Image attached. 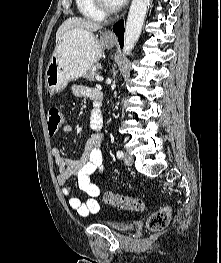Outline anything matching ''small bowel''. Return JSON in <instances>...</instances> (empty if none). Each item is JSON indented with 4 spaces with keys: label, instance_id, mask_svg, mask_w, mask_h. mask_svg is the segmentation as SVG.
I'll return each instance as SVG.
<instances>
[{
    "label": "small bowel",
    "instance_id": "1",
    "mask_svg": "<svg viewBox=\"0 0 221 263\" xmlns=\"http://www.w3.org/2000/svg\"><path fill=\"white\" fill-rule=\"evenodd\" d=\"M72 91L77 97H88L94 100L97 94H101L99 90L90 88L84 84H74ZM91 132L88 135L83 155L80 159H72L63 157L58 147H53L51 154L58 168L57 182L61 187L62 194L68 197L69 206L76 210L81 216L95 214L100 209L98 197L100 188L97 184L91 182L92 174L102 175L104 172V160L102 152L103 131L102 125H95L92 120ZM62 131L65 134H71L74 128L70 124H64ZM72 176H76L78 186L87 198L82 202L78 197L73 196V188L68 183Z\"/></svg>",
    "mask_w": 221,
    "mask_h": 263
}]
</instances>
